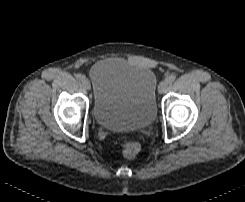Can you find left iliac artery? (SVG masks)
Returning a JSON list of instances; mask_svg holds the SVG:
<instances>
[{
  "label": "left iliac artery",
  "instance_id": "44dca946",
  "mask_svg": "<svg viewBox=\"0 0 245 202\" xmlns=\"http://www.w3.org/2000/svg\"><path fill=\"white\" fill-rule=\"evenodd\" d=\"M175 80V77L173 75H169L167 78H166V82L171 84L173 83Z\"/></svg>",
  "mask_w": 245,
  "mask_h": 202
}]
</instances>
